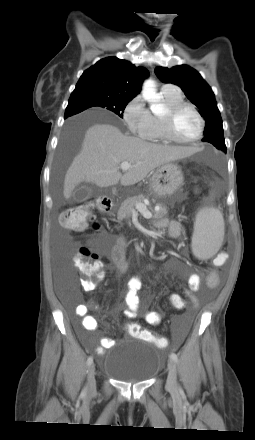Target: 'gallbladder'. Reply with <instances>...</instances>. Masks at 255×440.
Listing matches in <instances>:
<instances>
[{"instance_id":"obj_1","label":"gallbladder","mask_w":255,"mask_h":440,"mask_svg":"<svg viewBox=\"0 0 255 440\" xmlns=\"http://www.w3.org/2000/svg\"><path fill=\"white\" fill-rule=\"evenodd\" d=\"M91 196V188L82 185L74 190V192L71 195V200L73 202H83L86 201Z\"/></svg>"}]
</instances>
